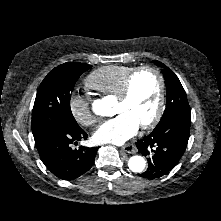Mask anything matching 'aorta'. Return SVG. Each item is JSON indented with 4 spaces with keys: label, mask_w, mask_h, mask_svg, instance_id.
I'll use <instances>...</instances> for the list:
<instances>
[{
    "label": "aorta",
    "mask_w": 221,
    "mask_h": 221,
    "mask_svg": "<svg viewBox=\"0 0 221 221\" xmlns=\"http://www.w3.org/2000/svg\"><path fill=\"white\" fill-rule=\"evenodd\" d=\"M110 106L104 100H98L93 104V112L96 115L107 116ZM146 161L142 156H132L128 161V167L132 172L140 173L145 169Z\"/></svg>",
    "instance_id": "aorta-1"
}]
</instances>
